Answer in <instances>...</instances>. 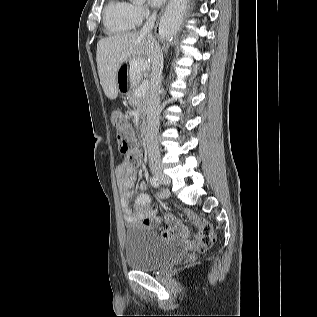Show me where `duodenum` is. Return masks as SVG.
<instances>
[{"label": "duodenum", "mask_w": 317, "mask_h": 317, "mask_svg": "<svg viewBox=\"0 0 317 317\" xmlns=\"http://www.w3.org/2000/svg\"><path fill=\"white\" fill-rule=\"evenodd\" d=\"M140 134H141V138L147 142L148 138H149V130L146 124L141 125V129H140Z\"/></svg>", "instance_id": "1"}]
</instances>
